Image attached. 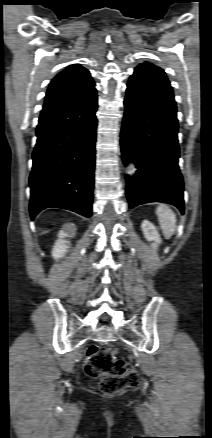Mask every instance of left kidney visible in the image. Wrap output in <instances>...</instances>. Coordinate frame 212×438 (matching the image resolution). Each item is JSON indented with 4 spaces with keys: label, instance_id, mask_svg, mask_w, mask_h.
Here are the masks:
<instances>
[{
    "label": "left kidney",
    "instance_id": "obj_1",
    "mask_svg": "<svg viewBox=\"0 0 212 438\" xmlns=\"http://www.w3.org/2000/svg\"><path fill=\"white\" fill-rule=\"evenodd\" d=\"M141 228L144 234V237L148 241H153V248H157L158 245L161 243V237L156 229V227L149 222L148 220H144L141 224Z\"/></svg>",
    "mask_w": 212,
    "mask_h": 438
}]
</instances>
